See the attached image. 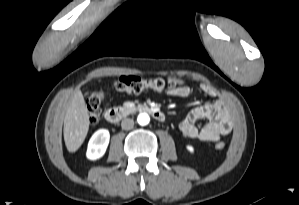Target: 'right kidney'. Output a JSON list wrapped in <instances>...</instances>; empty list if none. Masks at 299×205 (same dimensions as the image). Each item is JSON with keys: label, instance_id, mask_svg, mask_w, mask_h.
<instances>
[{"label": "right kidney", "instance_id": "1", "mask_svg": "<svg viewBox=\"0 0 299 205\" xmlns=\"http://www.w3.org/2000/svg\"><path fill=\"white\" fill-rule=\"evenodd\" d=\"M110 134L107 129L97 130L89 140L86 156L89 160L101 158L108 147Z\"/></svg>", "mask_w": 299, "mask_h": 205}]
</instances>
